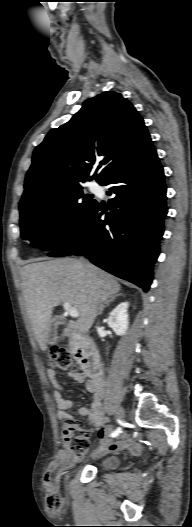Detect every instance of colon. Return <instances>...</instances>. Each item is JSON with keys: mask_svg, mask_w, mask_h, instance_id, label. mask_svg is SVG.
I'll return each instance as SVG.
<instances>
[{"mask_svg": "<svg viewBox=\"0 0 192 527\" xmlns=\"http://www.w3.org/2000/svg\"><path fill=\"white\" fill-rule=\"evenodd\" d=\"M50 362L52 366L61 370L73 372L77 370L76 362L71 354L64 349L54 348L51 352ZM61 437L66 455L69 458H82L89 448V432L73 418L65 420L61 430ZM48 501L54 505L56 498L49 496Z\"/></svg>", "mask_w": 192, "mask_h": 527, "instance_id": "5ec220e1", "label": "colon"}]
</instances>
